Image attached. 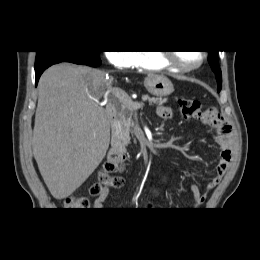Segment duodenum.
<instances>
[{"label": "duodenum", "mask_w": 260, "mask_h": 260, "mask_svg": "<svg viewBox=\"0 0 260 260\" xmlns=\"http://www.w3.org/2000/svg\"><path fill=\"white\" fill-rule=\"evenodd\" d=\"M107 114L109 121L111 123L112 127V137H111V150L114 153L118 154H125L126 150L124 146L121 144L120 140L118 139L116 132H115V119H116V111L113 107L108 106L107 107Z\"/></svg>", "instance_id": "obj_1"}]
</instances>
